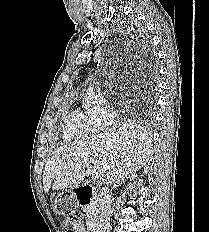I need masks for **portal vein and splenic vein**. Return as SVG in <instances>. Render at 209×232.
I'll list each match as a JSON object with an SVG mask.
<instances>
[{"mask_svg":"<svg viewBox=\"0 0 209 232\" xmlns=\"http://www.w3.org/2000/svg\"><path fill=\"white\" fill-rule=\"evenodd\" d=\"M87 172L94 177V179H98L100 177L99 173L93 167H88Z\"/></svg>","mask_w":209,"mask_h":232,"instance_id":"1","label":"portal vein and splenic vein"}]
</instances>
